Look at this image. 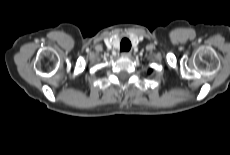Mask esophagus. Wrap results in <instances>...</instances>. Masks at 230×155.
Masks as SVG:
<instances>
[{
  "instance_id": "esophagus-1",
  "label": "esophagus",
  "mask_w": 230,
  "mask_h": 155,
  "mask_svg": "<svg viewBox=\"0 0 230 155\" xmlns=\"http://www.w3.org/2000/svg\"><path fill=\"white\" fill-rule=\"evenodd\" d=\"M122 55L124 57H130L131 56V52H123Z\"/></svg>"
}]
</instances>
